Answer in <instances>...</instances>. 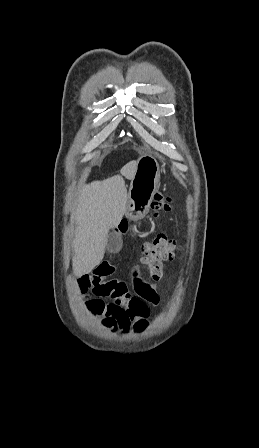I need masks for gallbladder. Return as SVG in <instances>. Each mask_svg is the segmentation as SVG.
I'll return each instance as SVG.
<instances>
[{"instance_id":"1","label":"gallbladder","mask_w":259,"mask_h":448,"mask_svg":"<svg viewBox=\"0 0 259 448\" xmlns=\"http://www.w3.org/2000/svg\"><path fill=\"white\" fill-rule=\"evenodd\" d=\"M106 248L108 252H119L122 248V238L119 234H109L107 238Z\"/></svg>"}]
</instances>
